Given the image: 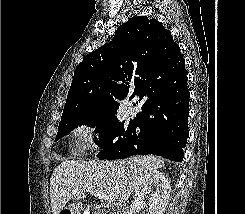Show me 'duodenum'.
Segmentation results:
<instances>
[{"mask_svg": "<svg viewBox=\"0 0 245 214\" xmlns=\"http://www.w3.org/2000/svg\"><path fill=\"white\" fill-rule=\"evenodd\" d=\"M90 210L93 214H128L126 208L119 205L101 206L95 203H90Z\"/></svg>", "mask_w": 245, "mask_h": 214, "instance_id": "duodenum-1", "label": "duodenum"}]
</instances>
